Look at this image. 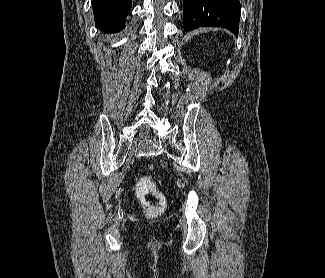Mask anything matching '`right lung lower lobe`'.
Here are the masks:
<instances>
[{
	"label": "right lung lower lobe",
	"instance_id": "98d812e1",
	"mask_svg": "<svg viewBox=\"0 0 325 278\" xmlns=\"http://www.w3.org/2000/svg\"><path fill=\"white\" fill-rule=\"evenodd\" d=\"M131 5V0H92L96 27L106 32L120 31Z\"/></svg>",
	"mask_w": 325,
	"mask_h": 278
}]
</instances>
